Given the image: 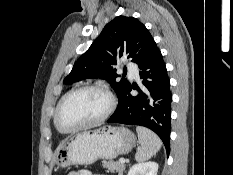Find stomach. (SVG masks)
Returning <instances> with one entry per match:
<instances>
[{"mask_svg": "<svg viewBox=\"0 0 233 175\" xmlns=\"http://www.w3.org/2000/svg\"><path fill=\"white\" fill-rule=\"evenodd\" d=\"M136 136L125 127L102 126L80 132L57 148L55 162L66 168L71 165H90L98 159L112 160L129 153Z\"/></svg>", "mask_w": 233, "mask_h": 175, "instance_id": "stomach-1", "label": "stomach"}]
</instances>
